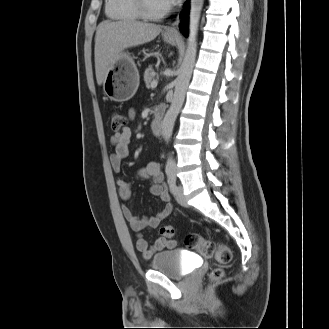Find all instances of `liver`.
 Instances as JSON below:
<instances>
[{
    "label": "liver",
    "mask_w": 329,
    "mask_h": 329,
    "mask_svg": "<svg viewBox=\"0 0 329 329\" xmlns=\"http://www.w3.org/2000/svg\"><path fill=\"white\" fill-rule=\"evenodd\" d=\"M162 27L133 20L103 21L95 37V72L98 85L123 50L154 40Z\"/></svg>",
    "instance_id": "6515ba94"
}]
</instances>
